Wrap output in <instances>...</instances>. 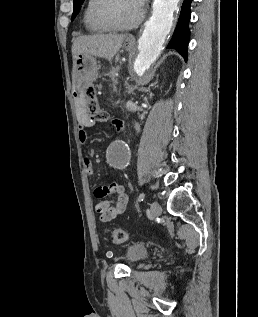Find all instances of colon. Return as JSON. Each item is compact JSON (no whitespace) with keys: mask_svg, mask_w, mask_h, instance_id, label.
Segmentation results:
<instances>
[{"mask_svg":"<svg viewBox=\"0 0 258 317\" xmlns=\"http://www.w3.org/2000/svg\"><path fill=\"white\" fill-rule=\"evenodd\" d=\"M85 109L92 120L96 122H107L108 114L102 110L97 102L96 90L93 86L84 91ZM109 239L116 244L123 243L128 239V234L121 228H110L107 230Z\"/></svg>","mask_w":258,"mask_h":317,"instance_id":"obj_1","label":"colon"}]
</instances>
